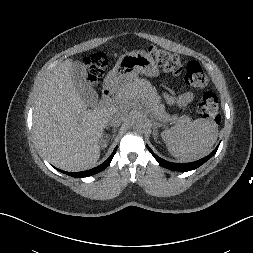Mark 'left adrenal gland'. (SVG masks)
I'll list each match as a JSON object with an SVG mask.
<instances>
[{"mask_svg":"<svg viewBox=\"0 0 253 253\" xmlns=\"http://www.w3.org/2000/svg\"><path fill=\"white\" fill-rule=\"evenodd\" d=\"M153 136H154L155 142H157V126L156 125H155L154 130H153Z\"/></svg>","mask_w":253,"mask_h":253,"instance_id":"a2214340","label":"left adrenal gland"}]
</instances>
